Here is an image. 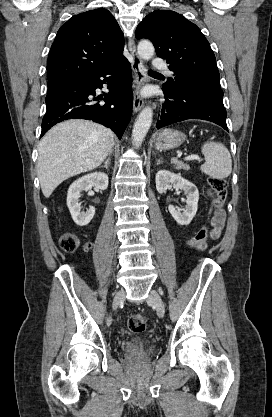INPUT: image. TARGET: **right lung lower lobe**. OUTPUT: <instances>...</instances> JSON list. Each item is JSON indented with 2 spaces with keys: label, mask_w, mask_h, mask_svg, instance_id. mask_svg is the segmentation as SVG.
I'll list each match as a JSON object with an SVG mask.
<instances>
[{
  "label": "right lung lower lobe",
  "mask_w": 272,
  "mask_h": 417,
  "mask_svg": "<svg viewBox=\"0 0 272 417\" xmlns=\"http://www.w3.org/2000/svg\"><path fill=\"white\" fill-rule=\"evenodd\" d=\"M131 83L130 63L121 56L97 72L49 85L41 136L58 122L80 118L111 128L121 139L131 118ZM103 84L109 93L96 96Z\"/></svg>",
  "instance_id": "obj_1"
}]
</instances>
